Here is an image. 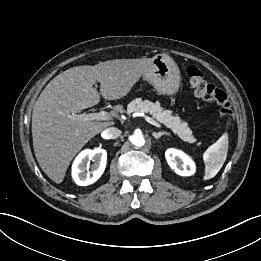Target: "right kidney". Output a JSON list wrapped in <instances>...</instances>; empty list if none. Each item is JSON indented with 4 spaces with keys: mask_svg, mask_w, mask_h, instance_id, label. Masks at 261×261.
I'll return each instance as SVG.
<instances>
[{
    "mask_svg": "<svg viewBox=\"0 0 261 261\" xmlns=\"http://www.w3.org/2000/svg\"><path fill=\"white\" fill-rule=\"evenodd\" d=\"M93 164L89 166V161ZM107 161V152L104 149L83 150L72 165V178L79 186H87L96 182L103 174Z\"/></svg>",
    "mask_w": 261,
    "mask_h": 261,
    "instance_id": "1",
    "label": "right kidney"
}]
</instances>
